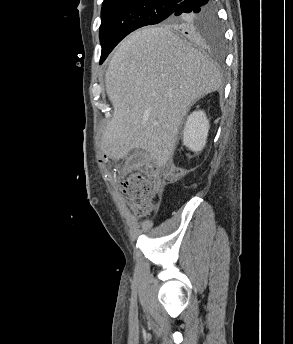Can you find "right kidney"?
<instances>
[{"mask_svg": "<svg viewBox=\"0 0 293 344\" xmlns=\"http://www.w3.org/2000/svg\"><path fill=\"white\" fill-rule=\"evenodd\" d=\"M209 131V121L204 111L192 112L183 130V144L191 151L199 152L205 145Z\"/></svg>", "mask_w": 293, "mask_h": 344, "instance_id": "1", "label": "right kidney"}]
</instances>
